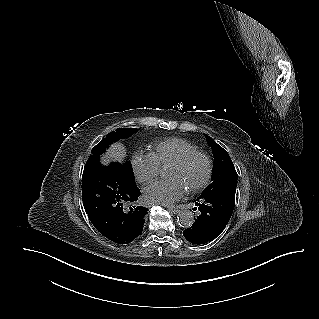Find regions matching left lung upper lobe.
<instances>
[{
	"instance_id": "1",
	"label": "left lung upper lobe",
	"mask_w": 319,
	"mask_h": 319,
	"mask_svg": "<svg viewBox=\"0 0 319 319\" xmlns=\"http://www.w3.org/2000/svg\"><path fill=\"white\" fill-rule=\"evenodd\" d=\"M205 136L208 144L212 148L215 159L212 172V183L205 188L201 196L236 188L237 173L229 154L210 136Z\"/></svg>"
}]
</instances>
